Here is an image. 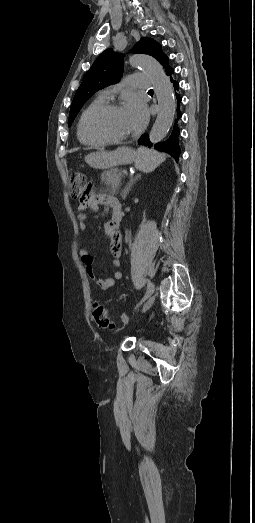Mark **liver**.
Here are the masks:
<instances>
[{
    "instance_id": "obj_1",
    "label": "liver",
    "mask_w": 255,
    "mask_h": 523,
    "mask_svg": "<svg viewBox=\"0 0 255 523\" xmlns=\"http://www.w3.org/2000/svg\"><path fill=\"white\" fill-rule=\"evenodd\" d=\"M99 154H107V156H111L113 152H96V154H89V156H86L85 162L91 166V168H97V164L99 162Z\"/></svg>"
}]
</instances>
